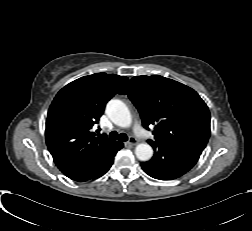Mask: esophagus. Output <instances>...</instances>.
Instances as JSON below:
<instances>
[{
    "mask_svg": "<svg viewBox=\"0 0 252 231\" xmlns=\"http://www.w3.org/2000/svg\"><path fill=\"white\" fill-rule=\"evenodd\" d=\"M126 145L133 146L137 144V139L134 137H130L129 140L125 143Z\"/></svg>",
    "mask_w": 252,
    "mask_h": 231,
    "instance_id": "esophagus-1",
    "label": "esophagus"
}]
</instances>
